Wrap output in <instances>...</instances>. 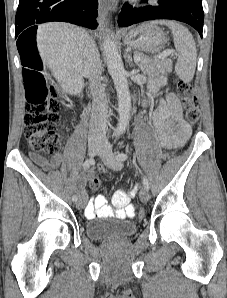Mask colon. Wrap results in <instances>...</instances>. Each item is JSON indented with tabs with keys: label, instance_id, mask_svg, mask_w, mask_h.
I'll list each match as a JSON object with an SVG mask.
<instances>
[{
	"label": "colon",
	"instance_id": "1",
	"mask_svg": "<svg viewBox=\"0 0 227 298\" xmlns=\"http://www.w3.org/2000/svg\"><path fill=\"white\" fill-rule=\"evenodd\" d=\"M42 65L36 56H27L24 69L25 88V128L24 135L29 146L36 152L56 154L61 148L60 135L56 131L60 106L56 100V90L41 72ZM177 92L183 102L187 121L194 125L200 117L199 103L190 83L177 82ZM100 180L93 178L90 186L100 187ZM145 209H140V217H145Z\"/></svg>",
	"mask_w": 227,
	"mask_h": 298
}]
</instances>
